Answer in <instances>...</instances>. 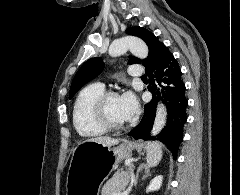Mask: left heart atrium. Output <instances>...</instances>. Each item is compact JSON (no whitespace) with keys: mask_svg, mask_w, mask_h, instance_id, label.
I'll use <instances>...</instances> for the list:
<instances>
[{"mask_svg":"<svg viewBox=\"0 0 240 195\" xmlns=\"http://www.w3.org/2000/svg\"><path fill=\"white\" fill-rule=\"evenodd\" d=\"M123 114L126 121L134 119L139 110L138 99L133 92H125L120 97Z\"/></svg>","mask_w":240,"mask_h":195,"instance_id":"1","label":"left heart atrium"}]
</instances>
